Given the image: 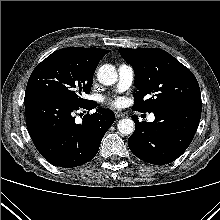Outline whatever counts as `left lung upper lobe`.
<instances>
[{
  "mask_svg": "<svg viewBox=\"0 0 220 220\" xmlns=\"http://www.w3.org/2000/svg\"><path fill=\"white\" fill-rule=\"evenodd\" d=\"M135 71L134 110L154 112L164 105L201 100L193 73L168 52L158 48H119ZM147 96L148 99L143 100Z\"/></svg>",
  "mask_w": 220,
  "mask_h": 220,
  "instance_id": "left-lung-upper-lobe-1",
  "label": "left lung upper lobe"
}]
</instances>
